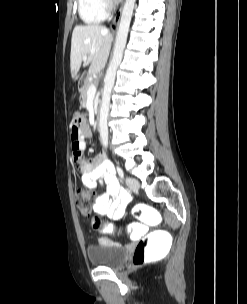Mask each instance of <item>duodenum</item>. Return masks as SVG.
I'll return each instance as SVG.
<instances>
[{
    "instance_id": "1",
    "label": "duodenum",
    "mask_w": 247,
    "mask_h": 304,
    "mask_svg": "<svg viewBox=\"0 0 247 304\" xmlns=\"http://www.w3.org/2000/svg\"><path fill=\"white\" fill-rule=\"evenodd\" d=\"M84 82H85V79L81 78L80 81H78L77 84H78V86L81 87V86H83ZM95 121H96V123H99V121H100V114L99 113L95 114ZM98 125L95 127L97 130L100 128Z\"/></svg>"
}]
</instances>
